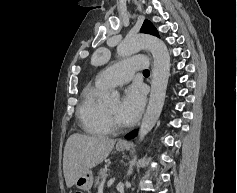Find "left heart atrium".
I'll list each match as a JSON object with an SVG mask.
<instances>
[{"label":"left heart atrium","mask_w":237,"mask_h":193,"mask_svg":"<svg viewBox=\"0 0 237 193\" xmlns=\"http://www.w3.org/2000/svg\"><path fill=\"white\" fill-rule=\"evenodd\" d=\"M145 105V90L139 83L131 85L125 92L120 105L119 116L124 124L134 123Z\"/></svg>","instance_id":"39dd6f15"}]
</instances>
